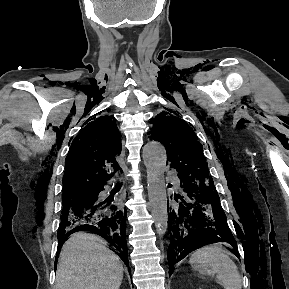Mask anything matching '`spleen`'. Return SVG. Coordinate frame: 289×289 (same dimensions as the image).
I'll use <instances>...</instances> for the list:
<instances>
[{
  "mask_svg": "<svg viewBox=\"0 0 289 289\" xmlns=\"http://www.w3.org/2000/svg\"><path fill=\"white\" fill-rule=\"evenodd\" d=\"M191 266L200 274H213L224 289H242L238 268L228 252L218 244L197 249L190 257Z\"/></svg>",
  "mask_w": 289,
  "mask_h": 289,
  "instance_id": "3e777b00",
  "label": "spleen"
}]
</instances>
